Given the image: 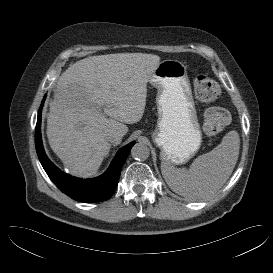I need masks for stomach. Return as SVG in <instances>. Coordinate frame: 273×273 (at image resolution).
<instances>
[{"instance_id":"0dacf381","label":"stomach","mask_w":273,"mask_h":273,"mask_svg":"<svg viewBox=\"0 0 273 273\" xmlns=\"http://www.w3.org/2000/svg\"><path fill=\"white\" fill-rule=\"evenodd\" d=\"M149 82L157 89L158 120L152 139L160 149V159L171 165L184 164L202 143L186 66L178 60H164Z\"/></svg>"}]
</instances>
